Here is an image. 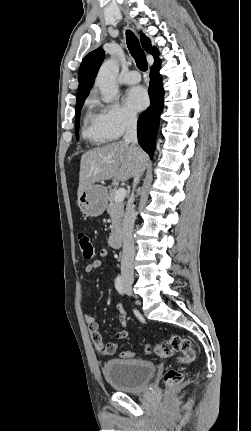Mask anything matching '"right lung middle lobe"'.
<instances>
[{
	"label": "right lung middle lobe",
	"instance_id": "1",
	"mask_svg": "<svg viewBox=\"0 0 251 431\" xmlns=\"http://www.w3.org/2000/svg\"><path fill=\"white\" fill-rule=\"evenodd\" d=\"M86 98H82L79 100H76V111H75V130H76V137L78 139V133H79V121H80V111L84 104V100Z\"/></svg>",
	"mask_w": 251,
	"mask_h": 431
}]
</instances>
